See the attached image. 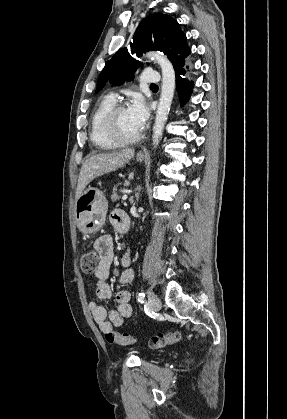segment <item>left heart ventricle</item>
<instances>
[{"mask_svg":"<svg viewBox=\"0 0 287 419\" xmlns=\"http://www.w3.org/2000/svg\"><path fill=\"white\" fill-rule=\"evenodd\" d=\"M118 127L120 132L126 137H132L141 132L133 122L126 108L118 114Z\"/></svg>","mask_w":287,"mask_h":419,"instance_id":"obj_1","label":"left heart ventricle"}]
</instances>
